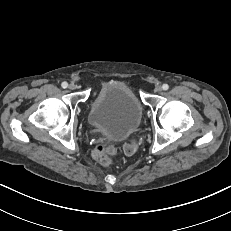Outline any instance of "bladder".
Listing matches in <instances>:
<instances>
[{
  "label": "bladder",
  "mask_w": 231,
  "mask_h": 231,
  "mask_svg": "<svg viewBox=\"0 0 231 231\" xmlns=\"http://www.w3.org/2000/svg\"><path fill=\"white\" fill-rule=\"evenodd\" d=\"M143 116L142 105L123 81L104 82L91 100L89 123L108 137L121 139L137 130Z\"/></svg>",
  "instance_id": "obj_1"
}]
</instances>
